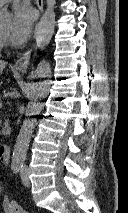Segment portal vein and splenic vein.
Returning <instances> with one entry per match:
<instances>
[{
    "label": "portal vein and splenic vein",
    "instance_id": "18ae733b",
    "mask_svg": "<svg viewBox=\"0 0 128 213\" xmlns=\"http://www.w3.org/2000/svg\"><path fill=\"white\" fill-rule=\"evenodd\" d=\"M2 106H3L2 103H0V109L2 108Z\"/></svg>",
    "mask_w": 128,
    "mask_h": 213
}]
</instances>
